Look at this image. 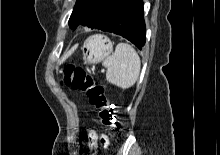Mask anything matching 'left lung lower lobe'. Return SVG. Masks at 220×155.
I'll return each instance as SVG.
<instances>
[{
	"mask_svg": "<svg viewBox=\"0 0 220 155\" xmlns=\"http://www.w3.org/2000/svg\"><path fill=\"white\" fill-rule=\"evenodd\" d=\"M79 25L120 35L140 50L146 41L142 0H97Z\"/></svg>",
	"mask_w": 220,
	"mask_h": 155,
	"instance_id": "1",
	"label": "left lung lower lobe"
}]
</instances>
